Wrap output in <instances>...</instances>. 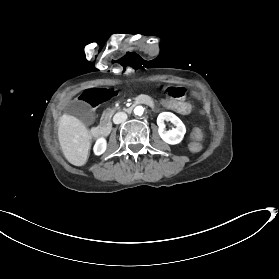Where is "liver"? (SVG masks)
<instances>
[{"instance_id":"liver-1","label":"liver","mask_w":279,"mask_h":279,"mask_svg":"<svg viewBox=\"0 0 279 279\" xmlns=\"http://www.w3.org/2000/svg\"><path fill=\"white\" fill-rule=\"evenodd\" d=\"M58 140L69 163L78 167L86 163L90 149V134L83 122L63 113L59 119Z\"/></svg>"}]
</instances>
